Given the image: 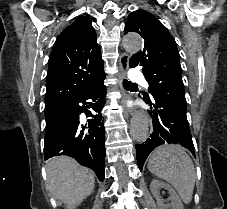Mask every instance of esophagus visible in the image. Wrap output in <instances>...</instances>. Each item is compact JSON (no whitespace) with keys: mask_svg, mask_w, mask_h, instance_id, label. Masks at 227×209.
Wrapping results in <instances>:
<instances>
[{"mask_svg":"<svg viewBox=\"0 0 227 209\" xmlns=\"http://www.w3.org/2000/svg\"><path fill=\"white\" fill-rule=\"evenodd\" d=\"M119 64H120V72H119V78L120 80L126 77L128 68H129V55L127 54H121L119 58ZM126 96H122V102L125 103ZM130 113H133V116H135V119L138 121H151L152 117L150 116V112H146V108H135L134 105L130 106ZM151 129L154 127L152 124L149 126Z\"/></svg>","mask_w":227,"mask_h":209,"instance_id":"esophagus-1","label":"esophagus"}]
</instances>
